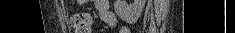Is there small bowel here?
I'll return each mask as SVG.
<instances>
[{
    "label": "small bowel",
    "instance_id": "1",
    "mask_svg": "<svg viewBox=\"0 0 235 33\" xmlns=\"http://www.w3.org/2000/svg\"><path fill=\"white\" fill-rule=\"evenodd\" d=\"M95 7L98 11L100 18L111 28L116 25V18L109 10V2L107 0H96ZM120 33H128L127 28H122Z\"/></svg>",
    "mask_w": 235,
    "mask_h": 33
}]
</instances>
